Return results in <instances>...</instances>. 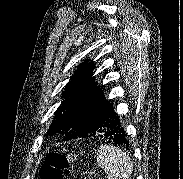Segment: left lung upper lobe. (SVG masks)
I'll list each match as a JSON object with an SVG mask.
<instances>
[{
  "label": "left lung upper lobe",
  "mask_w": 183,
  "mask_h": 179,
  "mask_svg": "<svg viewBox=\"0 0 183 179\" xmlns=\"http://www.w3.org/2000/svg\"><path fill=\"white\" fill-rule=\"evenodd\" d=\"M94 63L85 60L63 92L62 104L47 132L65 135L64 141L84 138L99 129L112 114V106L104 100L91 73Z\"/></svg>",
  "instance_id": "5c2ea615"
}]
</instances>
